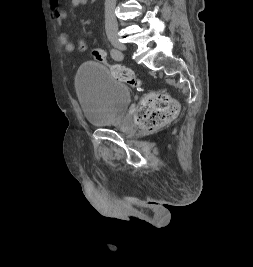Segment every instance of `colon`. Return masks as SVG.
Instances as JSON below:
<instances>
[{"label": "colon", "mask_w": 253, "mask_h": 267, "mask_svg": "<svg viewBox=\"0 0 253 267\" xmlns=\"http://www.w3.org/2000/svg\"><path fill=\"white\" fill-rule=\"evenodd\" d=\"M75 48L79 52L84 53L88 51L89 46L84 40L78 38ZM91 54L97 63L108 66L118 80L133 87L140 85V80L130 68L123 65L109 64L106 59V54L102 49L94 48ZM177 111L178 106L175 101L166 95L153 92L142 100L136 112L135 120L142 130L152 131L170 121L176 115Z\"/></svg>", "instance_id": "obj_1"}]
</instances>
